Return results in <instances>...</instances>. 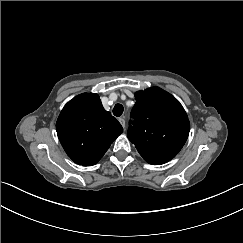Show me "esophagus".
<instances>
[{"label":"esophagus","mask_w":243,"mask_h":243,"mask_svg":"<svg viewBox=\"0 0 243 243\" xmlns=\"http://www.w3.org/2000/svg\"><path fill=\"white\" fill-rule=\"evenodd\" d=\"M119 122L122 125V127L124 128L125 127V119L123 117H120Z\"/></svg>","instance_id":"esophagus-1"}]
</instances>
